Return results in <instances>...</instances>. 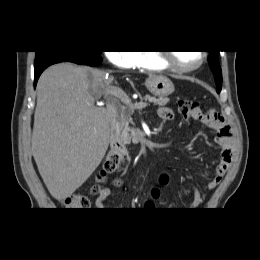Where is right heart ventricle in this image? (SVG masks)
I'll return each instance as SVG.
<instances>
[{"label":"right heart ventricle","instance_id":"right-heart-ventricle-1","mask_svg":"<svg viewBox=\"0 0 260 260\" xmlns=\"http://www.w3.org/2000/svg\"><path fill=\"white\" fill-rule=\"evenodd\" d=\"M135 67L152 70L162 71L169 67L157 56L154 51H139L136 53Z\"/></svg>","mask_w":260,"mask_h":260}]
</instances>
